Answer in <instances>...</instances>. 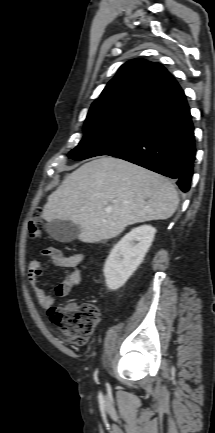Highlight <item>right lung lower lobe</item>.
<instances>
[{"mask_svg": "<svg viewBox=\"0 0 215 433\" xmlns=\"http://www.w3.org/2000/svg\"><path fill=\"white\" fill-rule=\"evenodd\" d=\"M195 137L184 92L157 108L133 140L109 154L176 179L183 192L190 188L195 160Z\"/></svg>", "mask_w": 215, "mask_h": 433, "instance_id": "98d812e1", "label": "right lung lower lobe"}]
</instances>
